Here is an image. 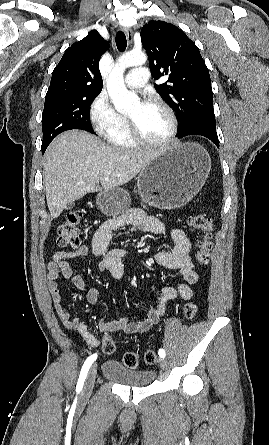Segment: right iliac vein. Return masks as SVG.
<instances>
[{"label":"right iliac vein","mask_w":269,"mask_h":445,"mask_svg":"<svg viewBox=\"0 0 269 445\" xmlns=\"http://www.w3.org/2000/svg\"><path fill=\"white\" fill-rule=\"evenodd\" d=\"M96 374H97V368L96 365H93L92 368L90 369L83 390H82V397L83 398H88L90 397L93 388H94V383H95V378H96Z\"/></svg>","instance_id":"63e3f726"}]
</instances>
